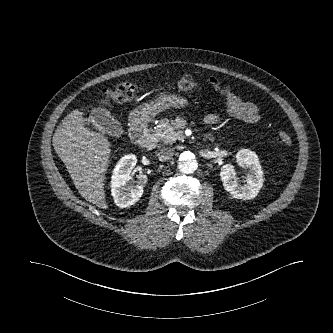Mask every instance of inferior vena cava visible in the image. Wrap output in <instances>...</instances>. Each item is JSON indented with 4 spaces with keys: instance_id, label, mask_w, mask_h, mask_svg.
I'll use <instances>...</instances> for the list:
<instances>
[{
    "instance_id": "1",
    "label": "inferior vena cava",
    "mask_w": 333,
    "mask_h": 333,
    "mask_svg": "<svg viewBox=\"0 0 333 333\" xmlns=\"http://www.w3.org/2000/svg\"><path fill=\"white\" fill-rule=\"evenodd\" d=\"M173 155H174V150L171 148H161L156 153V156L161 162L169 160L170 158H172Z\"/></svg>"
}]
</instances>
